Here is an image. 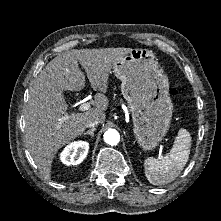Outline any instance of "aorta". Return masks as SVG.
Listing matches in <instances>:
<instances>
[{"instance_id": "1", "label": "aorta", "mask_w": 221, "mask_h": 221, "mask_svg": "<svg viewBox=\"0 0 221 221\" xmlns=\"http://www.w3.org/2000/svg\"><path fill=\"white\" fill-rule=\"evenodd\" d=\"M104 141L110 145H117L120 141V135L115 129H108L104 133Z\"/></svg>"}]
</instances>
